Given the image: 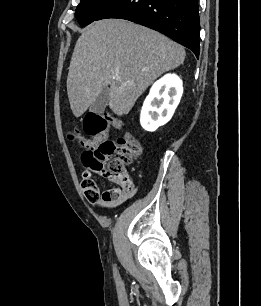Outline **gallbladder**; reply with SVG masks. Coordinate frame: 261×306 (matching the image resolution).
<instances>
[{
	"mask_svg": "<svg viewBox=\"0 0 261 306\" xmlns=\"http://www.w3.org/2000/svg\"><path fill=\"white\" fill-rule=\"evenodd\" d=\"M109 93H110L109 87L107 86L104 87L103 90L98 95V97L95 99V101L91 104L90 111L95 114H102L105 110V107L108 104Z\"/></svg>",
	"mask_w": 261,
	"mask_h": 306,
	"instance_id": "gallbladder-1",
	"label": "gallbladder"
}]
</instances>
